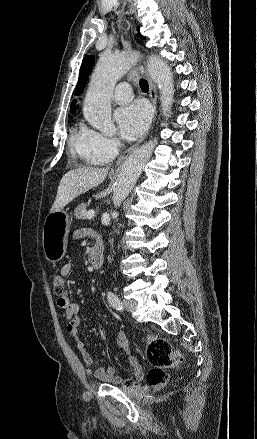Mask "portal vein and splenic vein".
<instances>
[{
    "label": "portal vein and splenic vein",
    "instance_id": "portal-vein-and-splenic-vein-1",
    "mask_svg": "<svg viewBox=\"0 0 257 439\" xmlns=\"http://www.w3.org/2000/svg\"><path fill=\"white\" fill-rule=\"evenodd\" d=\"M94 214H95V211L93 209H91L87 212L86 218L91 219V218H93Z\"/></svg>",
    "mask_w": 257,
    "mask_h": 439
}]
</instances>
